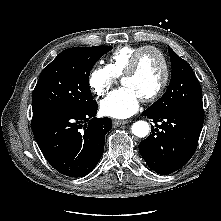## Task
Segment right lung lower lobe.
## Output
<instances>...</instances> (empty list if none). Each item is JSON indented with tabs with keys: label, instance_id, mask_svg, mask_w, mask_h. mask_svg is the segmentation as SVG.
I'll use <instances>...</instances> for the list:
<instances>
[{
	"label": "right lung lower lobe",
	"instance_id": "obj_1",
	"mask_svg": "<svg viewBox=\"0 0 221 221\" xmlns=\"http://www.w3.org/2000/svg\"><path fill=\"white\" fill-rule=\"evenodd\" d=\"M97 102L82 108H54L33 113L32 131L46 160L70 177L90 173L104 151L112 128L109 118H95Z\"/></svg>",
	"mask_w": 221,
	"mask_h": 221
}]
</instances>
